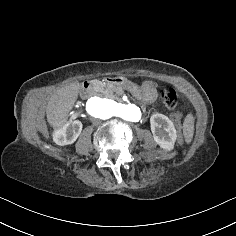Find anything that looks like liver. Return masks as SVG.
<instances>
[{"instance_id":"obj_1","label":"liver","mask_w":236,"mask_h":236,"mask_svg":"<svg viewBox=\"0 0 236 236\" xmlns=\"http://www.w3.org/2000/svg\"><path fill=\"white\" fill-rule=\"evenodd\" d=\"M80 90L79 83H71L58 89L46 107L47 121L54 128H60L68 118Z\"/></svg>"}]
</instances>
